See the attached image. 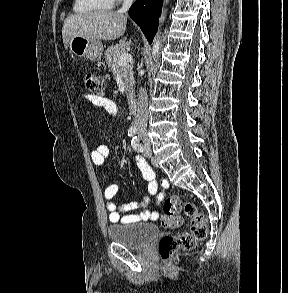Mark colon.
<instances>
[{
    "mask_svg": "<svg viewBox=\"0 0 288 293\" xmlns=\"http://www.w3.org/2000/svg\"><path fill=\"white\" fill-rule=\"evenodd\" d=\"M104 78L96 73L85 76V86L93 95L100 96L105 90ZM191 220V228L187 233L176 236L164 235L158 243V252L162 259L171 258L179 250L193 249L196 244L205 239L207 225L205 215L198 210L195 204L184 202L183 198L173 195L164 200L161 226L164 229H174L182 224L181 211Z\"/></svg>",
    "mask_w": 288,
    "mask_h": 293,
    "instance_id": "1",
    "label": "colon"
}]
</instances>
